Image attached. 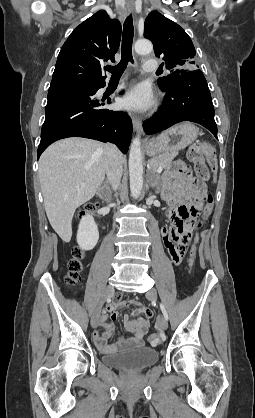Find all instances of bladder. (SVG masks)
Listing matches in <instances>:
<instances>
[{
  "instance_id": "31cf9c89",
  "label": "bladder",
  "mask_w": 255,
  "mask_h": 418,
  "mask_svg": "<svg viewBox=\"0 0 255 418\" xmlns=\"http://www.w3.org/2000/svg\"><path fill=\"white\" fill-rule=\"evenodd\" d=\"M158 358L157 350L145 346H136L123 352L104 355L102 360L107 365L115 368L139 371L156 363Z\"/></svg>"
}]
</instances>
